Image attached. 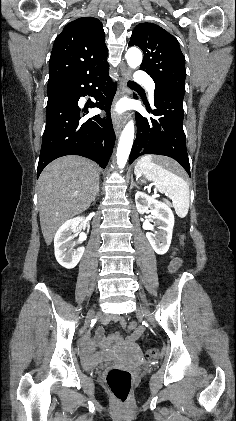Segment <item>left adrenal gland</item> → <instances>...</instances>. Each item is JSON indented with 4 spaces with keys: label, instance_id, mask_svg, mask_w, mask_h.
<instances>
[{
    "label": "left adrenal gland",
    "instance_id": "obj_1",
    "mask_svg": "<svg viewBox=\"0 0 236 421\" xmlns=\"http://www.w3.org/2000/svg\"><path fill=\"white\" fill-rule=\"evenodd\" d=\"M133 186H137L136 182H134L133 174H131V184L130 188H133Z\"/></svg>",
    "mask_w": 236,
    "mask_h": 421
}]
</instances>
